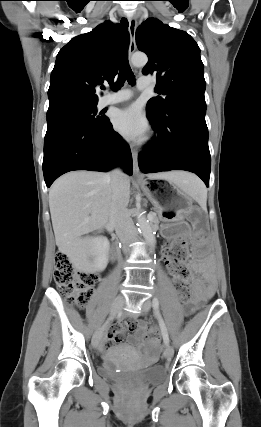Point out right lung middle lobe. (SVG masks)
<instances>
[{"label":"right lung middle lobe","mask_w":261,"mask_h":427,"mask_svg":"<svg viewBox=\"0 0 261 427\" xmlns=\"http://www.w3.org/2000/svg\"><path fill=\"white\" fill-rule=\"evenodd\" d=\"M96 105H66L48 109L47 123L61 120H78L89 124H100L108 118L95 116Z\"/></svg>","instance_id":"right-lung-middle-lobe-1"}]
</instances>
